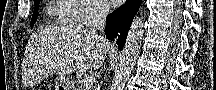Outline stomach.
I'll return each instance as SVG.
<instances>
[{"label":"stomach","mask_w":216,"mask_h":90,"mask_svg":"<svg viewBox=\"0 0 216 90\" xmlns=\"http://www.w3.org/2000/svg\"><path fill=\"white\" fill-rule=\"evenodd\" d=\"M71 83L68 78L59 75L55 80V90H71Z\"/></svg>","instance_id":"0dacf381"}]
</instances>
